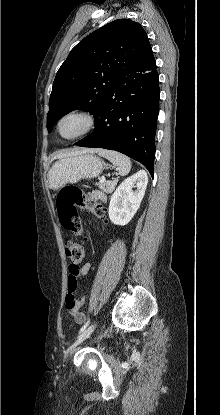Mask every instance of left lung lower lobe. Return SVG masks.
<instances>
[{
	"mask_svg": "<svg viewBox=\"0 0 220 415\" xmlns=\"http://www.w3.org/2000/svg\"><path fill=\"white\" fill-rule=\"evenodd\" d=\"M159 96L153 56L142 68L116 80L95 116L93 133L74 145L121 152L142 163L153 176Z\"/></svg>",
	"mask_w": 220,
	"mask_h": 415,
	"instance_id": "left-lung-lower-lobe-1",
	"label": "left lung lower lobe"
}]
</instances>
